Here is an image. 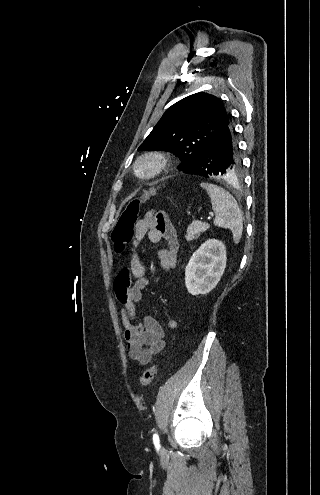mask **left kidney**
Wrapping results in <instances>:
<instances>
[{"label":"left kidney","instance_id":"obj_1","mask_svg":"<svg viewBox=\"0 0 320 495\" xmlns=\"http://www.w3.org/2000/svg\"><path fill=\"white\" fill-rule=\"evenodd\" d=\"M225 245L207 240L192 255L185 269V285L192 295L207 294L220 281L226 267Z\"/></svg>","mask_w":320,"mask_h":495}]
</instances>
